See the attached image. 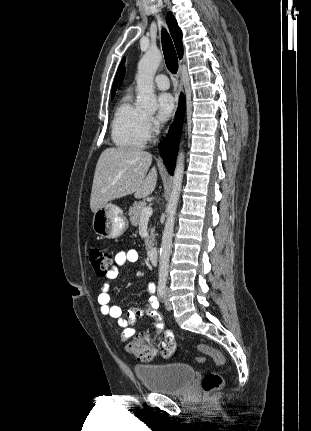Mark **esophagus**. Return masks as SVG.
Wrapping results in <instances>:
<instances>
[{"label": "esophagus", "instance_id": "esophagus-1", "mask_svg": "<svg viewBox=\"0 0 311 431\" xmlns=\"http://www.w3.org/2000/svg\"><path fill=\"white\" fill-rule=\"evenodd\" d=\"M181 91H182V72L180 70L178 72V75H177L176 108L178 106V98H179V95H180ZM174 115H175V112L173 114V117H174ZM157 162H158V164H162L163 163L161 156L158 157Z\"/></svg>", "mask_w": 311, "mask_h": 431}]
</instances>
